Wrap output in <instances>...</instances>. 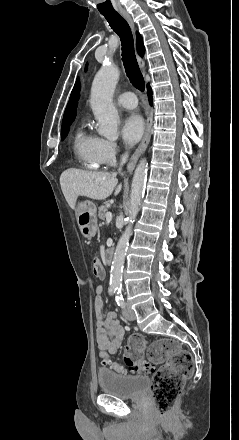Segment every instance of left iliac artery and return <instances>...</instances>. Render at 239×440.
Returning a JSON list of instances; mask_svg holds the SVG:
<instances>
[{
	"label": "left iliac artery",
	"instance_id": "1",
	"mask_svg": "<svg viewBox=\"0 0 239 440\" xmlns=\"http://www.w3.org/2000/svg\"><path fill=\"white\" fill-rule=\"evenodd\" d=\"M116 302H117L118 306H120V307H124L125 306L124 299H123V296L121 294L120 289L117 292Z\"/></svg>",
	"mask_w": 239,
	"mask_h": 440
}]
</instances>
